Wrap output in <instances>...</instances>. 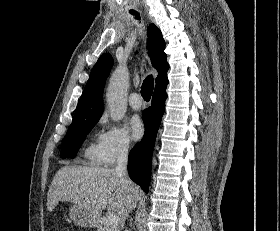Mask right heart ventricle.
<instances>
[{
	"label": "right heart ventricle",
	"mask_w": 280,
	"mask_h": 231,
	"mask_svg": "<svg viewBox=\"0 0 280 231\" xmlns=\"http://www.w3.org/2000/svg\"><path fill=\"white\" fill-rule=\"evenodd\" d=\"M83 160L84 163L89 166H100L103 164L99 144L94 138H92L84 148Z\"/></svg>",
	"instance_id": "e07e8e85"
}]
</instances>
